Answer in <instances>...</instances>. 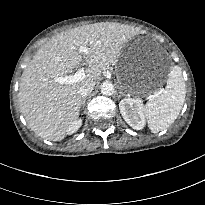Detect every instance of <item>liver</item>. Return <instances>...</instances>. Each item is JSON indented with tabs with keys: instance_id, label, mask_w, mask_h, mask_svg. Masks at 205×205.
I'll use <instances>...</instances> for the list:
<instances>
[{
	"instance_id": "obj_1",
	"label": "liver",
	"mask_w": 205,
	"mask_h": 205,
	"mask_svg": "<svg viewBox=\"0 0 205 205\" xmlns=\"http://www.w3.org/2000/svg\"><path fill=\"white\" fill-rule=\"evenodd\" d=\"M135 34L132 27L101 22L64 31L44 44L23 71L19 87L20 109L38 136L60 141L78 119L83 84L100 78L103 69L117 62L120 51ZM86 46L88 54L79 52ZM85 60L87 75L79 82L60 84L54 78L66 76Z\"/></svg>"
}]
</instances>
